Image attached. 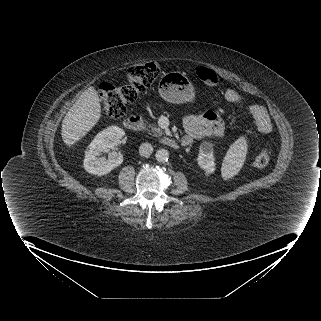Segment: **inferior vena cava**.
<instances>
[{"mask_svg":"<svg viewBox=\"0 0 321 321\" xmlns=\"http://www.w3.org/2000/svg\"><path fill=\"white\" fill-rule=\"evenodd\" d=\"M153 152V146L150 143H142L139 147V153L143 157H149Z\"/></svg>","mask_w":321,"mask_h":321,"instance_id":"inferior-vena-cava-1","label":"inferior vena cava"}]
</instances>
